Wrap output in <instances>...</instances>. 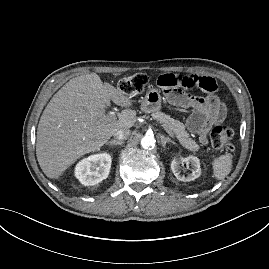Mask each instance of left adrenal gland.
I'll return each instance as SVG.
<instances>
[{
    "mask_svg": "<svg viewBox=\"0 0 269 269\" xmlns=\"http://www.w3.org/2000/svg\"><path fill=\"white\" fill-rule=\"evenodd\" d=\"M160 139H161V144H162V146L164 147V148H166V144L168 143V142H171L172 144H176L171 138H169V137H165V136H163V135H160Z\"/></svg>",
    "mask_w": 269,
    "mask_h": 269,
    "instance_id": "obj_1",
    "label": "left adrenal gland"
}]
</instances>
